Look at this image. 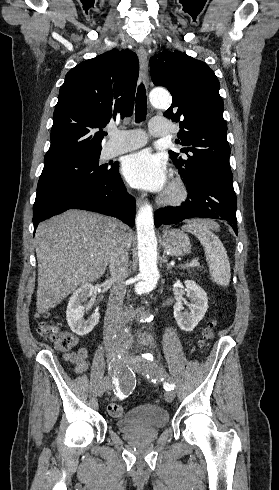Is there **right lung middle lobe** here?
Listing matches in <instances>:
<instances>
[{
	"mask_svg": "<svg viewBox=\"0 0 279 490\" xmlns=\"http://www.w3.org/2000/svg\"><path fill=\"white\" fill-rule=\"evenodd\" d=\"M100 153L45 163L37 190L46 186L95 182L110 178L118 164H99Z\"/></svg>",
	"mask_w": 279,
	"mask_h": 490,
	"instance_id": "obj_1",
	"label": "right lung middle lobe"
}]
</instances>
